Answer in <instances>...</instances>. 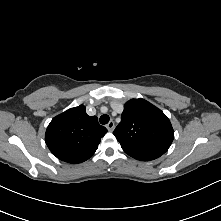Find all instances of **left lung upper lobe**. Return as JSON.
I'll return each instance as SVG.
<instances>
[{
	"instance_id": "1",
	"label": "left lung upper lobe",
	"mask_w": 221,
	"mask_h": 221,
	"mask_svg": "<svg viewBox=\"0 0 221 221\" xmlns=\"http://www.w3.org/2000/svg\"><path fill=\"white\" fill-rule=\"evenodd\" d=\"M113 134L125 153L141 161L163 155L174 138L168 117L144 99H131L125 103L121 122Z\"/></svg>"
}]
</instances>
